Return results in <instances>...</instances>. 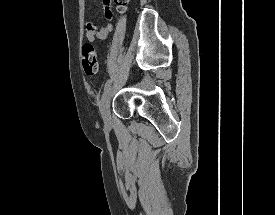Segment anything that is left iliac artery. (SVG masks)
<instances>
[{
  "label": "left iliac artery",
  "instance_id": "obj_1",
  "mask_svg": "<svg viewBox=\"0 0 275 215\" xmlns=\"http://www.w3.org/2000/svg\"><path fill=\"white\" fill-rule=\"evenodd\" d=\"M111 86V80H107L104 85V92H106Z\"/></svg>",
  "mask_w": 275,
  "mask_h": 215
}]
</instances>
